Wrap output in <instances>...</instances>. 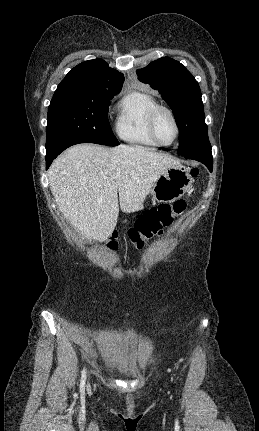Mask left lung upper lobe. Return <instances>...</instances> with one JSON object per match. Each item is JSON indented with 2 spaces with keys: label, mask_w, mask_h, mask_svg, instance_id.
<instances>
[{
  "label": "left lung upper lobe",
  "mask_w": 259,
  "mask_h": 431,
  "mask_svg": "<svg viewBox=\"0 0 259 431\" xmlns=\"http://www.w3.org/2000/svg\"><path fill=\"white\" fill-rule=\"evenodd\" d=\"M139 81L159 91L170 106L180 132L178 155L211 151L201 90L178 61L164 57L136 71Z\"/></svg>",
  "instance_id": "5c2ea615"
}]
</instances>
